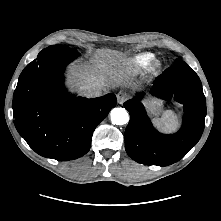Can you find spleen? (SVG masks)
Here are the masks:
<instances>
[{
	"instance_id": "3e777b00",
	"label": "spleen",
	"mask_w": 221,
	"mask_h": 221,
	"mask_svg": "<svg viewBox=\"0 0 221 221\" xmlns=\"http://www.w3.org/2000/svg\"><path fill=\"white\" fill-rule=\"evenodd\" d=\"M154 123L159 130L171 132L177 129L179 121L177 115L173 111L168 110L161 118L155 119Z\"/></svg>"
}]
</instances>
